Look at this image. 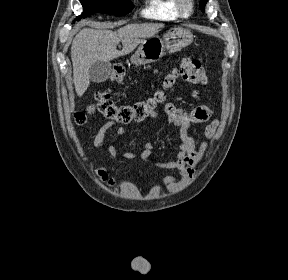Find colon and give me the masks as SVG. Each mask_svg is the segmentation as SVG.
Listing matches in <instances>:
<instances>
[{"instance_id":"5ec220e1","label":"colon","mask_w":288,"mask_h":280,"mask_svg":"<svg viewBox=\"0 0 288 280\" xmlns=\"http://www.w3.org/2000/svg\"><path fill=\"white\" fill-rule=\"evenodd\" d=\"M178 78H182L191 84H205L207 77L201 63L186 56L174 67L164 78L163 88L171 87ZM112 82L122 84L125 81V69L122 65L117 64L113 68L111 75ZM164 91H158L155 95L147 100L138 101L129 105H117L111 99V93L108 90L100 91L96 95L97 109L107 118L120 123H129L131 121H140L150 116L157 109V106L164 101ZM90 107L86 113L77 112L75 118L77 122H84L87 114L93 111Z\"/></svg>"}]
</instances>
